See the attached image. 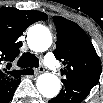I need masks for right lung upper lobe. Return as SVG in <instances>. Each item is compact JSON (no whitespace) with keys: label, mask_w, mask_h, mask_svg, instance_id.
I'll use <instances>...</instances> for the list:
<instances>
[{"label":"right lung upper lobe","mask_w":103,"mask_h":103,"mask_svg":"<svg viewBox=\"0 0 103 103\" xmlns=\"http://www.w3.org/2000/svg\"><path fill=\"white\" fill-rule=\"evenodd\" d=\"M47 15L40 11H24L16 8H0V91L21 79L20 72L12 69V61L19 54L20 42L16 40L26 28Z\"/></svg>","instance_id":"1"}]
</instances>
